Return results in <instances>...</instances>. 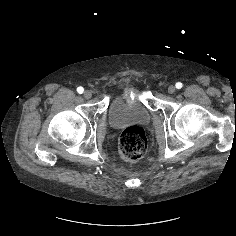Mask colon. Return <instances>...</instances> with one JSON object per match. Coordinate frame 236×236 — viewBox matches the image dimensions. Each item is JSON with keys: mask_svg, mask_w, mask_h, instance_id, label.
I'll return each instance as SVG.
<instances>
[{"mask_svg": "<svg viewBox=\"0 0 236 236\" xmlns=\"http://www.w3.org/2000/svg\"><path fill=\"white\" fill-rule=\"evenodd\" d=\"M147 150V139L139 126L126 128L119 139V151L124 160L135 162L140 160Z\"/></svg>", "mask_w": 236, "mask_h": 236, "instance_id": "colon-1", "label": "colon"}]
</instances>
